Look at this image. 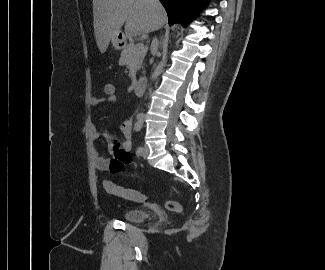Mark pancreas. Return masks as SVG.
I'll return each instance as SVG.
<instances>
[{
    "label": "pancreas",
    "instance_id": "cf45deb5",
    "mask_svg": "<svg viewBox=\"0 0 325 270\" xmlns=\"http://www.w3.org/2000/svg\"><path fill=\"white\" fill-rule=\"evenodd\" d=\"M147 48L140 49L138 44H134V42H130L125 46L121 53V57L119 60V65H131L132 63L137 64V68H140V65L146 55Z\"/></svg>",
    "mask_w": 325,
    "mask_h": 270
}]
</instances>
